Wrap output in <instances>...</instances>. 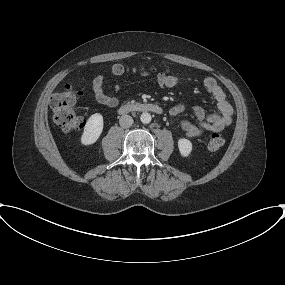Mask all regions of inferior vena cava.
<instances>
[{"label":"inferior vena cava","mask_w":285,"mask_h":285,"mask_svg":"<svg viewBox=\"0 0 285 285\" xmlns=\"http://www.w3.org/2000/svg\"><path fill=\"white\" fill-rule=\"evenodd\" d=\"M119 124L122 128H129L133 124V118L130 115H122Z\"/></svg>","instance_id":"obj_1"}]
</instances>
